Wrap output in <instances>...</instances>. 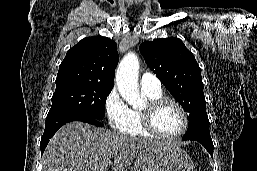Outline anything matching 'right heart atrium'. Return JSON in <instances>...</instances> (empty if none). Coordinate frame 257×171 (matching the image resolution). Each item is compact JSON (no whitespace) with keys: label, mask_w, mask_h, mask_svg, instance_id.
I'll list each match as a JSON object with an SVG mask.
<instances>
[{"label":"right heart atrium","mask_w":257,"mask_h":171,"mask_svg":"<svg viewBox=\"0 0 257 171\" xmlns=\"http://www.w3.org/2000/svg\"><path fill=\"white\" fill-rule=\"evenodd\" d=\"M104 109L110 126L122 132L127 125L130 108L116 88L106 96Z\"/></svg>","instance_id":"1"}]
</instances>
